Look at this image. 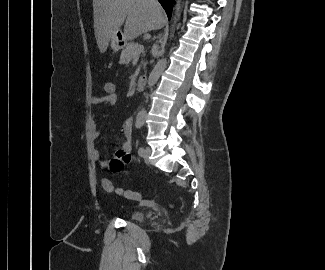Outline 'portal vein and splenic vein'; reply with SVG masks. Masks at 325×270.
I'll list each match as a JSON object with an SVG mask.
<instances>
[{
	"label": "portal vein and splenic vein",
	"instance_id": "18ae733b",
	"mask_svg": "<svg viewBox=\"0 0 325 270\" xmlns=\"http://www.w3.org/2000/svg\"><path fill=\"white\" fill-rule=\"evenodd\" d=\"M143 50H144V47H143L142 45H140L138 51L141 52V51H143Z\"/></svg>",
	"mask_w": 325,
	"mask_h": 270
}]
</instances>
